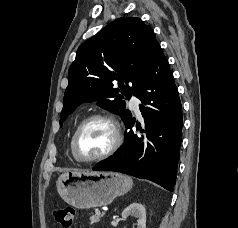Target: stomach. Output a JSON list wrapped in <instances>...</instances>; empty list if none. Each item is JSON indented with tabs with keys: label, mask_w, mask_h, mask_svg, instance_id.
Returning a JSON list of instances; mask_svg holds the SVG:
<instances>
[{
	"label": "stomach",
	"mask_w": 238,
	"mask_h": 228,
	"mask_svg": "<svg viewBox=\"0 0 238 228\" xmlns=\"http://www.w3.org/2000/svg\"><path fill=\"white\" fill-rule=\"evenodd\" d=\"M133 185L131 177L116 172L69 171L57 180L61 198L78 209H89L110 204L127 193Z\"/></svg>",
	"instance_id": "stomach-1"
}]
</instances>
